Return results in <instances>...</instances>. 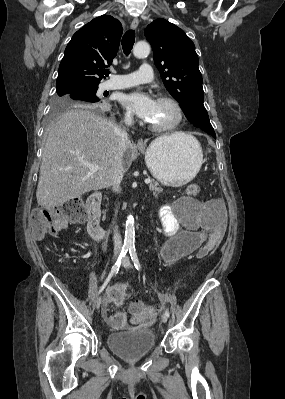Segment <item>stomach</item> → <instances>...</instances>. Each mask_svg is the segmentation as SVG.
I'll return each mask as SVG.
<instances>
[{"label":"stomach","mask_w":285,"mask_h":399,"mask_svg":"<svg viewBox=\"0 0 285 399\" xmlns=\"http://www.w3.org/2000/svg\"><path fill=\"white\" fill-rule=\"evenodd\" d=\"M141 152L153 177L166 186L178 187L190 182L200 170L203 153L199 142L190 135L157 138Z\"/></svg>","instance_id":"0dacf381"}]
</instances>
